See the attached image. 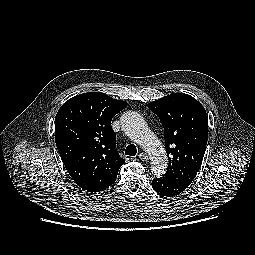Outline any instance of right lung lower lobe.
Listing matches in <instances>:
<instances>
[{
    "mask_svg": "<svg viewBox=\"0 0 255 255\" xmlns=\"http://www.w3.org/2000/svg\"><path fill=\"white\" fill-rule=\"evenodd\" d=\"M114 183V182H113ZM112 183V184H113ZM112 184H110V185H112ZM109 185V186H110ZM109 186H106V187H104V188H101V189H99V190H93V191H89V192H91V193H97V192H100V191H103L104 189H106L107 187H109Z\"/></svg>",
    "mask_w": 255,
    "mask_h": 255,
    "instance_id": "obj_1",
    "label": "right lung lower lobe"
}]
</instances>
